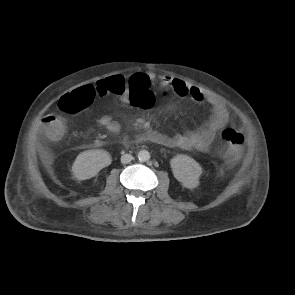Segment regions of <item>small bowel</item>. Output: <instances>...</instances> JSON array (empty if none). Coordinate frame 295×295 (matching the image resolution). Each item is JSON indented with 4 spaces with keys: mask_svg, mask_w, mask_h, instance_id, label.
I'll return each instance as SVG.
<instances>
[{
    "mask_svg": "<svg viewBox=\"0 0 295 295\" xmlns=\"http://www.w3.org/2000/svg\"><path fill=\"white\" fill-rule=\"evenodd\" d=\"M126 90L121 94V101L128 103V87H150L151 85L160 86L164 92L173 93L179 97L189 98L197 103H206L212 110L209 121L200 129L180 133L175 135H166L155 130H148L139 136L140 141H147L157 145L176 147L184 150L208 151L219 130L224 128L229 119L226 106L214 97L203 93L198 87L187 82L164 75H155L149 72H136L126 80ZM152 93V92H151ZM54 115H48L42 124L44 131L46 123ZM99 123L111 133L119 132L120 123L111 116L104 115L100 117Z\"/></svg>",
    "mask_w": 295,
    "mask_h": 295,
    "instance_id": "obj_1",
    "label": "small bowel"
}]
</instances>
